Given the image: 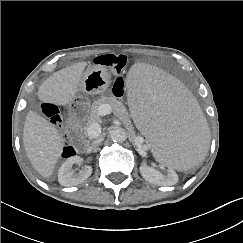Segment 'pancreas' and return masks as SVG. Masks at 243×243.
<instances>
[{"mask_svg":"<svg viewBox=\"0 0 243 243\" xmlns=\"http://www.w3.org/2000/svg\"><path fill=\"white\" fill-rule=\"evenodd\" d=\"M103 104H108L111 106L114 115L124 123H130L129 114L122 102L118 101L113 96H101L96 101H94L90 107V116L88 122L84 125V133L87 134L89 125L99 119V108Z\"/></svg>","mask_w":243,"mask_h":243,"instance_id":"pancreas-1","label":"pancreas"}]
</instances>
